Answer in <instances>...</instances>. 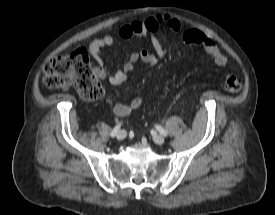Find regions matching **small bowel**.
<instances>
[{
    "label": "small bowel",
    "mask_w": 275,
    "mask_h": 215,
    "mask_svg": "<svg viewBox=\"0 0 275 215\" xmlns=\"http://www.w3.org/2000/svg\"><path fill=\"white\" fill-rule=\"evenodd\" d=\"M164 25L170 32L179 33L181 31V23L170 15H158L140 21L135 20L130 23L123 24L118 31L120 38L130 40L137 38H149L152 51L141 50L130 55L129 61L119 70L109 73L104 67L102 49L112 46L115 42L113 35L106 33L102 37L95 39L89 46V50L94 58L97 66L94 68V74L100 79H108L112 85L118 86L124 83L134 69V65L142 62L148 65L155 64L158 58L165 56L166 50L162 46L158 38V31ZM182 41L185 44L200 45L204 51L213 59L216 65L226 66L228 58L215 44V42L202 32L195 29H187L182 33ZM142 99L135 97L129 104L118 103L113 107V112L118 117L128 115L131 110L141 106Z\"/></svg>",
    "instance_id": "c3829d8e"
}]
</instances>
